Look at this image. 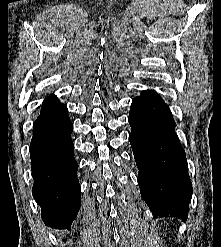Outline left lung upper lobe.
<instances>
[{
	"instance_id": "1",
	"label": "left lung upper lobe",
	"mask_w": 221,
	"mask_h": 247,
	"mask_svg": "<svg viewBox=\"0 0 221 247\" xmlns=\"http://www.w3.org/2000/svg\"><path fill=\"white\" fill-rule=\"evenodd\" d=\"M147 92H149V93H151V94H153V95L159 96V95H157V93H156L155 91H153V90H148Z\"/></svg>"
}]
</instances>
